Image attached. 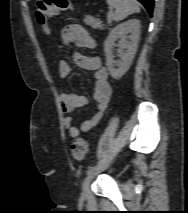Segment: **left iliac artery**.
<instances>
[{
	"label": "left iliac artery",
	"mask_w": 188,
	"mask_h": 213,
	"mask_svg": "<svg viewBox=\"0 0 188 213\" xmlns=\"http://www.w3.org/2000/svg\"><path fill=\"white\" fill-rule=\"evenodd\" d=\"M95 169H96V166L89 167L87 174L93 173Z\"/></svg>",
	"instance_id": "obj_1"
}]
</instances>
